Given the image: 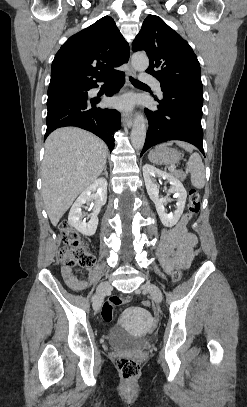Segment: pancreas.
<instances>
[{"label": "pancreas", "instance_id": "cf45deb5", "mask_svg": "<svg viewBox=\"0 0 247 407\" xmlns=\"http://www.w3.org/2000/svg\"><path fill=\"white\" fill-rule=\"evenodd\" d=\"M173 174L178 177L180 180H184L186 175L181 171H173Z\"/></svg>", "mask_w": 247, "mask_h": 407}]
</instances>
